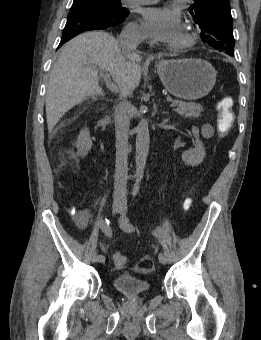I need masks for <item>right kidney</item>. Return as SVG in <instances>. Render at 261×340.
Instances as JSON below:
<instances>
[{"instance_id": "right-kidney-1", "label": "right kidney", "mask_w": 261, "mask_h": 340, "mask_svg": "<svg viewBox=\"0 0 261 340\" xmlns=\"http://www.w3.org/2000/svg\"><path fill=\"white\" fill-rule=\"evenodd\" d=\"M75 145L77 147V154L81 157H85L88 152L91 150L92 142L90 139V133L88 128H84L81 130L77 141L75 142Z\"/></svg>"}]
</instances>
